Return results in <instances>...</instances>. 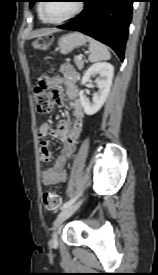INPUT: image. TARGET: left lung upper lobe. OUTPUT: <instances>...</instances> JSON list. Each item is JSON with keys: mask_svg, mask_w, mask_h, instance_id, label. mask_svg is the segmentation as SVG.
<instances>
[{"mask_svg": "<svg viewBox=\"0 0 158 275\" xmlns=\"http://www.w3.org/2000/svg\"><path fill=\"white\" fill-rule=\"evenodd\" d=\"M36 2V0H29L30 7Z\"/></svg>", "mask_w": 158, "mask_h": 275, "instance_id": "obj_1", "label": "left lung upper lobe"}]
</instances>
